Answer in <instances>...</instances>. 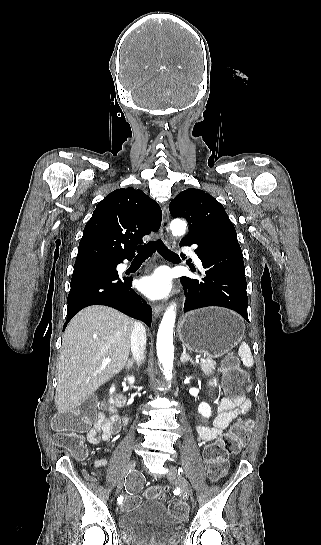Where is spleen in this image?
I'll return each instance as SVG.
<instances>
[{"instance_id": "3e777b00", "label": "spleen", "mask_w": 321, "mask_h": 545, "mask_svg": "<svg viewBox=\"0 0 321 545\" xmlns=\"http://www.w3.org/2000/svg\"><path fill=\"white\" fill-rule=\"evenodd\" d=\"M238 355L241 357V361H243V365H245V367H252V365H254L250 347H248L244 341L241 343L238 349Z\"/></svg>"}]
</instances>
